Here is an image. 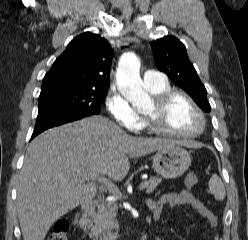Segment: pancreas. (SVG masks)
I'll return each mask as SVG.
<instances>
[{
    "label": "pancreas",
    "instance_id": "obj_1",
    "mask_svg": "<svg viewBox=\"0 0 248 240\" xmlns=\"http://www.w3.org/2000/svg\"><path fill=\"white\" fill-rule=\"evenodd\" d=\"M160 182L161 179L157 177H151L143 182L146 192L152 193ZM117 197L120 198L121 195ZM117 209L118 206L115 203H105L99 205L97 212L91 215L89 235L93 240H114L117 237V232H113L119 227L116 219Z\"/></svg>",
    "mask_w": 248,
    "mask_h": 240
}]
</instances>
